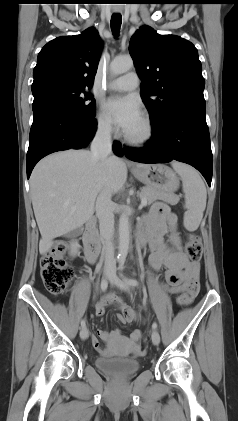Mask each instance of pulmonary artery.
<instances>
[{
  "label": "pulmonary artery",
  "instance_id": "1",
  "mask_svg": "<svg viewBox=\"0 0 238 421\" xmlns=\"http://www.w3.org/2000/svg\"><path fill=\"white\" fill-rule=\"evenodd\" d=\"M139 84V77L135 72H128L120 76L108 85V88L116 91H131L134 90Z\"/></svg>",
  "mask_w": 238,
  "mask_h": 421
}]
</instances>
